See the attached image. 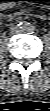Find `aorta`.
<instances>
[{
    "label": "aorta",
    "mask_w": 50,
    "mask_h": 111,
    "mask_svg": "<svg viewBox=\"0 0 50 111\" xmlns=\"http://www.w3.org/2000/svg\"><path fill=\"white\" fill-rule=\"evenodd\" d=\"M23 30L24 31H30L31 27L28 24L23 25Z\"/></svg>",
    "instance_id": "aorta-1"
}]
</instances>
